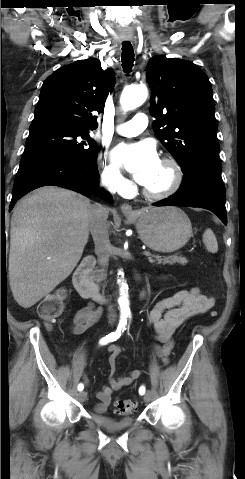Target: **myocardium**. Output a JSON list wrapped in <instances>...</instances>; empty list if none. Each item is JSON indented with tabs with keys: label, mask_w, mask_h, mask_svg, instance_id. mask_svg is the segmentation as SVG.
<instances>
[{
	"label": "myocardium",
	"mask_w": 245,
	"mask_h": 479,
	"mask_svg": "<svg viewBox=\"0 0 245 479\" xmlns=\"http://www.w3.org/2000/svg\"><path fill=\"white\" fill-rule=\"evenodd\" d=\"M160 162L170 169V182L160 191H152L147 188L142 189L143 195L150 200H163L175 194L183 181V171L180 164L170 156H164Z\"/></svg>",
	"instance_id": "obj_1"
}]
</instances>
